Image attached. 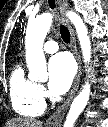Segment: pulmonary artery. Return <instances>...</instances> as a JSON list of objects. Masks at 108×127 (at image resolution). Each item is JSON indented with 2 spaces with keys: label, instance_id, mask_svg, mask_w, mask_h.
Segmentation results:
<instances>
[{
  "label": "pulmonary artery",
  "instance_id": "pulmonary-artery-1",
  "mask_svg": "<svg viewBox=\"0 0 108 127\" xmlns=\"http://www.w3.org/2000/svg\"><path fill=\"white\" fill-rule=\"evenodd\" d=\"M43 50L46 53H54L58 50V44L55 41H47L43 46Z\"/></svg>",
  "mask_w": 108,
  "mask_h": 127
}]
</instances>
